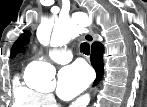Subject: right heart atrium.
<instances>
[{
  "label": "right heart atrium",
  "instance_id": "d8ad5b80",
  "mask_svg": "<svg viewBox=\"0 0 147 107\" xmlns=\"http://www.w3.org/2000/svg\"><path fill=\"white\" fill-rule=\"evenodd\" d=\"M45 104H51L53 102V97L50 94L43 95Z\"/></svg>",
  "mask_w": 147,
  "mask_h": 107
}]
</instances>
